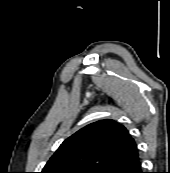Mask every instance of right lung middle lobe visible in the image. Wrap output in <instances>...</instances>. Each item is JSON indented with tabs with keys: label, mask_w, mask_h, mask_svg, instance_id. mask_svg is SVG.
I'll return each instance as SVG.
<instances>
[{
	"label": "right lung middle lobe",
	"mask_w": 170,
	"mask_h": 173,
	"mask_svg": "<svg viewBox=\"0 0 170 173\" xmlns=\"http://www.w3.org/2000/svg\"><path fill=\"white\" fill-rule=\"evenodd\" d=\"M63 173H83V172L82 171L70 170V171H64Z\"/></svg>",
	"instance_id": "right-lung-middle-lobe-1"
}]
</instances>
